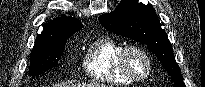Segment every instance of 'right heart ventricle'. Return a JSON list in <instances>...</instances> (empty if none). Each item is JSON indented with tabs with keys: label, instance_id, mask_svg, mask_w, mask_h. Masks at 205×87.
I'll use <instances>...</instances> for the list:
<instances>
[{
	"label": "right heart ventricle",
	"instance_id": "1",
	"mask_svg": "<svg viewBox=\"0 0 205 87\" xmlns=\"http://www.w3.org/2000/svg\"><path fill=\"white\" fill-rule=\"evenodd\" d=\"M124 45L110 36L96 38L85 51L84 67L93 80L114 85H130L118 64V56Z\"/></svg>",
	"mask_w": 205,
	"mask_h": 87
}]
</instances>
